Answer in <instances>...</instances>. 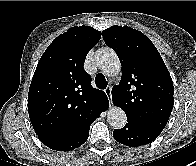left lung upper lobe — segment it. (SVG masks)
Segmentation results:
<instances>
[{
	"label": "left lung upper lobe",
	"mask_w": 196,
	"mask_h": 166,
	"mask_svg": "<svg viewBox=\"0 0 196 166\" xmlns=\"http://www.w3.org/2000/svg\"><path fill=\"white\" fill-rule=\"evenodd\" d=\"M102 33L122 65L120 83L112 89L114 105L125 111L127 121L161 132L173 108L174 87L158 50L142 32L127 26Z\"/></svg>",
	"instance_id": "obj_1"
}]
</instances>
